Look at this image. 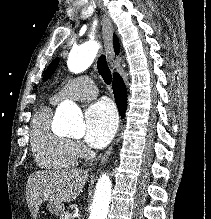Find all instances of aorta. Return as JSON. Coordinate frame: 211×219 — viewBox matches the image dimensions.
Instances as JSON below:
<instances>
[{"label": "aorta", "mask_w": 211, "mask_h": 219, "mask_svg": "<svg viewBox=\"0 0 211 219\" xmlns=\"http://www.w3.org/2000/svg\"><path fill=\"white\" fill-rule=\"evenodd\" d=\"M98 47L94 42H87L73 47L69 53L67 66L73 73L86 70L96 57ZM56 117L63 123L68 135L81 137L85 133V123L78 106L71 101H64L56 111ZM112 182L107 174H102L96 184L94 200L89 219H107Z\"/></svg>", "instance_id": "1"}]
</instances>
